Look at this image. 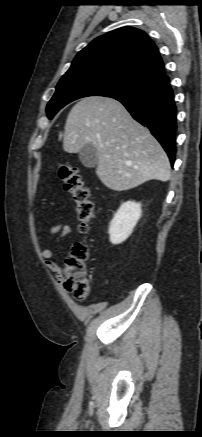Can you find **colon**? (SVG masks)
Instances as JSON below:
<instances>
[{
    "mask_svg": "<svg viewBox=\"0 0 202 437\" xmlns=\"http://www.w3.org/2000/svg\"><path fill=\"white\" fill-rule=\"evenodd\" d=\"M58 175L63 188L70 193L78 220V230L87 234L91 229L94 206L89 190L84 186L78 169L70 164H60ZM89 249L85 242L72 245L63 267V286L76 299L86 298L91 289L87 262Z\"/></svg>",
    "mask_w": 202,
    "mask_h": 437,
    "instance_id": "5ec220e1",
    "label": "colon"
}]
</instances>
